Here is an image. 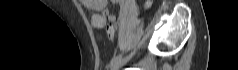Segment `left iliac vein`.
I'll return each mask as SVG.
<instances>
[{"mask_svg":"<svg viewBox=\"0 0 238 70\" xmlns=\"http://www.w3.org/2000/svg\"><path fill=\"white\" fill-rule=\"evenodd\" d=\"M123 63L124 61H119L118 63L111 66L110 70H117Z\"/></svg>","mask_w":238,"mask_h":70,"instance_id":"obj_1","label":"left iliac vein"}]
</instances>
